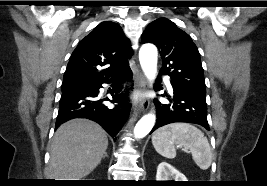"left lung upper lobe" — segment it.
Wrapping results in <instances>:
<instances>
[{"label":"left lung upper lobe","mask_w":267,"mask_h":186,"mask_svg":"<svg viewBox=\"0 0 267 186\" xmlns=\"http://www.w3.org/2000/svg\"><path fill=\"white\" fill-rule=\"evenodd\" d=\"M141 40L157 46L163 62L160 74L170 76L171 84L205 96L206 85L200 54L184 31L172 21L159 18L147 26Z\"/></svg>","instance_id":"1"}]
</instances>
